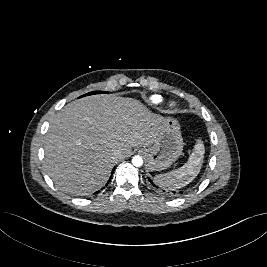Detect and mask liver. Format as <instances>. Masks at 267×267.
Wrapping results in <instances>:
<instances>
[{"label":"liver","mask_w":267,"mask_h":267,"mask_svg":"<svg viewBox=\"0 0 267 267\" xmlns=\"http://www.w3.org/2000/svg\"><path fill=\"white\" fill-rule=\"evenodd\" d=\"M161 118L140 101L115 95L75 100L51 120L45 136V168L62 191L88 195L107 182L132 147L152 145ZM121 156L114 159V150Z\"/></svg>","instance_id":"liver-1"}]
</instances>
